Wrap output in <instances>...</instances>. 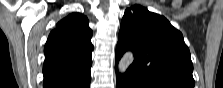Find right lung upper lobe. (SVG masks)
Listing matches in <instances>:
<instances>
[{"label":"right lung upper lobe","mask_w":223,"mask_h":88,"mask_svg":"<svg viewBox=\"0 0 223 88\" xmlns=\"http://www.w3.org/2000/svg\"><path fill=\"white\" fill-rule=\"evenodd\" d=\"M91 37L82 14L73 13L57 23L44 48V88H82L91 80Z\"/></svg>","instance_id":"cb5924a9"}]
</instances>
